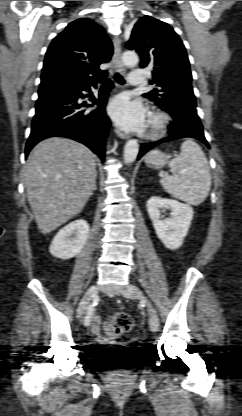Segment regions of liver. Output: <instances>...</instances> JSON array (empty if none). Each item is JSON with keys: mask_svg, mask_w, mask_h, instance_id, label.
Returning <instances> with one entry per match:
<instances>
[{"mask_svg": "<svg viewBox=\"0 0 242 416\" xmlns=\"http://www.w3.org/2000/svg\"><path fill=\"white\" fill-rule=\"evenodd\" d=\"M24 180L35 221L47 234L84 208L94 191L96 156L74 140L47 138L29 154Z\"/></svg>", "mask_w": 242, "mask_h": 416, "instance_id": "1", "label": "liver"}]
</instances>
